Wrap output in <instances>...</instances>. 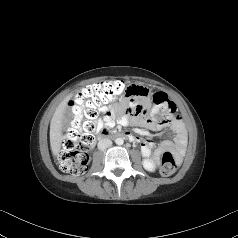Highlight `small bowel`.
I'll return each instance as SVG.
<instances>
[{"label":"small bowel","instance_id":"1","mask_svg":"<svg viewBox=\"0 0 238 238\" xmlns=\"http://www.w3.org/2000/svg\"><path fill=\"white\" fill-rule=\"evenodd\" d=\"M130 90L131 93L120 106H101L99 108L102 116L95 120L97 131H107L115 124L138 126L152 131H161L169 126L174 133L173 140H165L157 145L153 153V161L157 162L160 156L167 151L174 152L180 158L187 140L183 122L178 117H174L168 123L154 121L150 118L152 111L148 108L149 91L142 86H132ZM118 111H122V114L118 115ZM153 148L154 143L152 141H141V152L145 158L151 156Z\"/></svg>","mask_w":238,"mask_h":238}]
</instances>
